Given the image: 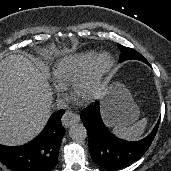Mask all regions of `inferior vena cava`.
Instances as JSON below:
<instances>
[{
	"label": "inferior vena cava",
	"instance_id": "obj_1",
	"mask_svg": "<svg viewBox=\"0 0 171 171\" xmlns=\"http://www.w3.org/2000/svg\"><path fill=\"white\" fill-rule=\"evenodd\" d=\"M56 107L57 109H64L66 107V103L63 99H57L56 100Z\"/></svg>",
	"mask_w": 171,
	"mask_h": 171
}]
</instances>
